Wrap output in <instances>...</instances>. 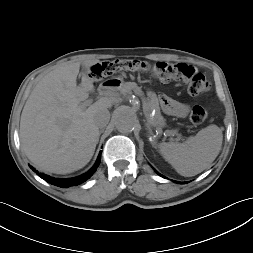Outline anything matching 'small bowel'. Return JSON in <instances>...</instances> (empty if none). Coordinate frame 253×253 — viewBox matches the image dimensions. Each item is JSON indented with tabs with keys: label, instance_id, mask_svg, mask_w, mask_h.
I'll list each match as a JSON object with an SVG mask.
<instances>
[{
	"label": "small bowel",
	"instance_id": "obj_1",
	"mask_svg": "<svg viewBox=\"0 0 253 253\" xmlns=\"http://www.w3.org/2000/svg\"><path fill=\"white\" fill-rule=\"evenodd\" d=\"M159 98L163 108L171 115L184 117L190 109L189 105L171 101L165 95H160Z\"/></svg>",
	"mask_w": 253,
	"mask_h": 253
}]
</instances>
